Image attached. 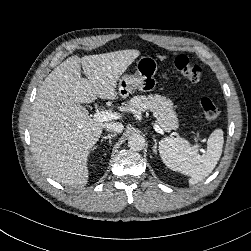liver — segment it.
I'll return each mask as SVG.
<instances>
[{"mask_svg":"<svg viewBox=\"0 0 251 251\" xmlns=\"http://www.w3.org/2000/svg\"><path fill=\"white\" fill-rule=\"evenodd\" d=\"M139 55L138 50L74 55L45 78L33 103L30 136L35 159L48 177L72 187L87 184L90 150L104 124L113 121L91 118L82 104L98 97L117 99V81ZM81 66L87 78L81 77Z\"/></svg>","mask_w":251,"mask_h":251,"instance_id":"6515ba94","label":"liver"}]
</instances>
